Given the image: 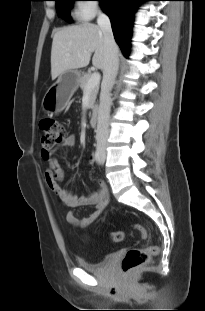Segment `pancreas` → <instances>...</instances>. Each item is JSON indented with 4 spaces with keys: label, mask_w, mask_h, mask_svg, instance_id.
<instances>
[{
    "label": "pancreas",
    "mask_w": 205,
    "mask_h": 311,
    "mask_svg": "<svg viewBox=\"0 0 205 311\" xmlns=\"http://www.w3.org/2000/svg\"><path fill=\"white\" fill-rule=\"evenodd\" d=\"M91 76H92L91 73H85V74H83V76L79 80L80 88L82 89V91L84 93L87 91L86 90V85H87L89 79L91 78ZM98 91H99V85H97L94 88H92L91 90H89V92H90V94H89V102H88V108L89 109H93L94 108V103H95Z\"/></svg>",
    "instance_id": "cf45deb5"
}]
</instances>
